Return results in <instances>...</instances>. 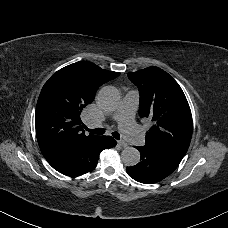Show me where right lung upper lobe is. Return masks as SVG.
Wrapping results in <instances>:
<instances>
[{
	"mask_svg": "<svg viewBox=\"0 0 228 228\" xmlns=\"http://www.w3.org/2000/svg\"><path fill=\"white\" fill-rule=\"evenodd\" d=\"M119 74L81 61L60 69L45 83L36 106L35 127L46 160L99 137L85 134L80 115L94 100L98 87Z\"/></svg>",
	"mask_w": 228,
	"mask_h": 228,
	"instance_id": "obj_1",
	"label": "right lung upper lobe"
}]
</instances>
